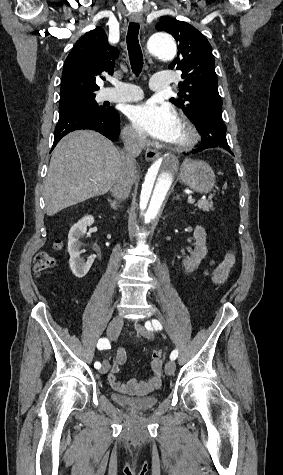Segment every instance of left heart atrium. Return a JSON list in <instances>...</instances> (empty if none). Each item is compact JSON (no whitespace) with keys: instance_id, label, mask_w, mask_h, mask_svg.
I'll list each match as a JSON object with an SVG mask.
<instances>
[{"instance_id":"left-heart-atrium-1","label":"left heart atrium","mask_w":283,"mask_h":475,"mask_svg":"<svg viewBox=\"0 0 283 475\" xmlns=\"http://www.w3.org/2000/svg\"><path fill=\"white\" fill-rule=\"evenodd\" d=\"M127 116L138 132L151 138L174 142L178 136L180 120L169 104L146 101L132 106Z\"/></svg>"}]
</instances>
